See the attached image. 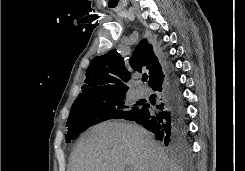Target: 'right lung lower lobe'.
I'll return each instance as SVG.
<instances>
[{
  "instance_id": "98d812e1",
  "label": "right lung lower lobe",
  "mask_w": 245,
  "mask_h": 171,
  "mask_svg": "<svg viewBox=\"0 0 245 171\" xmlns=\"http://www.w3.org/2000/svg\"><path fill=\"white\" fill-rule=\"evenodd\" d=\"M164 72L150 87L157 103L145 104L131 121L144 126L166 146H184L187 139L186 110L177 76L171 62H163Z\"/></svg>"
}]
</instances>
